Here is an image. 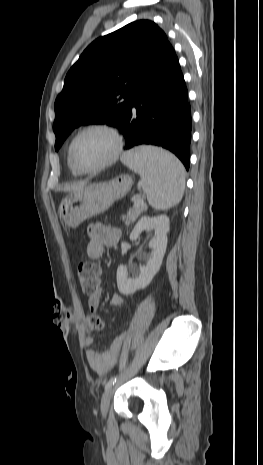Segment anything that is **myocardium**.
<instances>
[{
    "label": "myocardium",
    "instance_id": "myocardium-1",
    "mask_svg": "<svg viewBox=\"0 0 263 465\" xmlns=\"http://www.w3.org/2000/svg\"><path fill=\"white\" fill-rule=\"evenodd\" d=\"M92 130H102V131H105L107 132L108 134L111 135V137L113 138L114 140V143H115V148H114V151H113V154L111 155L110 158H108L106 161H104L103 163L99 164L98 166L94 167V168H83L81 166H79L74 158V145L76 143V141L78 140V138L83 135L84 133L88 132V131H92ZM123 146H124V140H123V137H122V134L120 133V131L114 127L113 125H110V124H107V123H93V124H89L83 128H81L75 135L74 137L72 138L70 144H69V147H68V158H69V161L72 165V167L77 171L79 172L80 174H94V173H98L104 169H106L107 167L111 166L112 164H114L120 157L122 151H123Z\"/></svg>",
    "mask_w": 263,
    "mask_h": 465
}]
</instances>
